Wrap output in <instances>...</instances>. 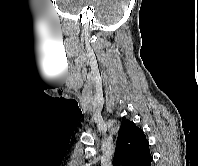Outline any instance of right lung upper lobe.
<instances>
[{
    "label": "right lung upper lobe",
    "instance_id": "1",
    "mask_svg": "<svg viewBox=\"0 0 198 166\" xmlns=\"http://www.w3.org/2000/svg\"><path fill=\"white\" fill-rule=\"evenodd\" d=\"M151 157L144 132L129 120L121 123L114 154V166H143Z\"/></svg>",
    "mask_w": 198,
    "mask_h": 166
}]
</instances>
